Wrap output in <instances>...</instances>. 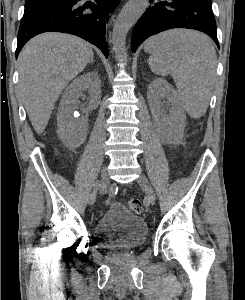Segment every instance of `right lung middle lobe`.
<instances>
[{"mask_svg":"<svg viewBox=\"0 0 245 300\" xmlns=\"http://www.w3.org/2000/svg\"><path fill=\"white\" fill-rule=\"evenodd\" d=\"M55 1H59V0H34V1H28V2H25V11H28V10H31V9H34V8H37V7H40V6H43V5H47V4H50V3L55 2Z\"/></svg>","mask_w":245,"mask_h":300,"instance_id":"1","label":"right lung middle lobe"}]
</instances>
